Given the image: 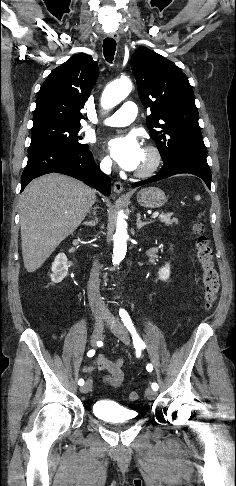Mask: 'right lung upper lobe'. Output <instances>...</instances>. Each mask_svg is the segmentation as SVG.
Masks as SVG:
<instances>
[{
	"label": "right lung upper lobe",
	"instance_id": "obj_1",
	"mask_svg": "<svg viewBox=\"0 0 236 486\" xmlns=\"http://www.w3.org/2000/svg\"><path fill=\"white\" fill-rule=\"evenodd\" d=\"M98 76V64L85 53L72 56L55 68L42 84L33 126L56 123L80 125V113Z\"/></svg>",
	"mask_w": 236,
	"mask_h": 486
}]
</instances>
